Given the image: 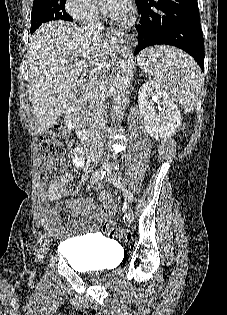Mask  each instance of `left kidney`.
Masks as SVG:
<instances>
[{
  "label": "left kidney",
  "mask_w": 227,
  "mask_h": 315,
  "mask_svg": "<svg viewBox=\"0 0 227 315\" xmlns=\"http://www.w3.org/2000/svg\"><path fill=\"white\" fill-rule=\"evenodd\" d=\"M138 104L150 136L156 139L169 137L180 126V111L156 82L150 80L140 87Z\"/></svg>",
  "instance_id": "5707ae66"
}]
</instances>
